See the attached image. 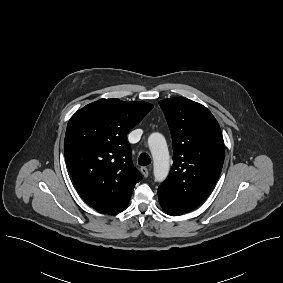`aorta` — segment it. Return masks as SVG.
<instances>
[{
	"label": "aorta",
	"instance_id": "aorta-1",
	"mask_svg": "<svg viewBox=\"0 0 283 283\" xmlns=\"http://www.w3.org/2000/svg\"><path fill=\"white\" fill-rule=\"evenodd\" d=\"M148 145L153 157L154 177L158 182H163L169 173V152L164 136L152 133L148 138Z\"/></svg>",
	"mask_w": 283,
	"mask_h": 283
}]
</instances>
